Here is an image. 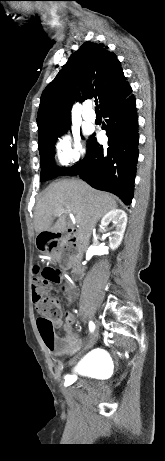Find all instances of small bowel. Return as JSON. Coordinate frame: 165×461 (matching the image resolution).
<instances>
[{
  "mask_svg": "<svg viewBox=\"0 0 165 461\" xmlns=\"http://www.w3.org/2000/svg\"><path fill=\"white\" fill-rule=\"evenodd\" d=\"M66 260L68 261L69 259L67 258ZM71 262L73 264L67 263L65 260H62L60 262L61 268L63 271H71L72 269H74V271L72 272V275L74 277H78L80 275V272L77 270L79 268L78 263L80 262V257L72 256ZM81 267L84 268L85 266L82 265ZM57 288L59 290H62L64 288V285L62 283H59L57 285ZM63 301L64 303H68L67 305L69 306L70 303H73L74 296L64 295ZM74 321H75V318L73 314L71 313H66L63 320H61L60 318H57L53 321V324L56 328H61L65 332L64 337L58 339L56 346L54 347V349L51 350L55 355L57 356L64 355L68 353L69 351L75 349L81 344V340L78 334L74 332V330L72 329V324L74 323Z\"/></svg>",
  "mask_w": 165,
  "mask_h": 461,
  "instance_id": "small-bowel-1",
  "label": "small bowel"
}]
</instances>
